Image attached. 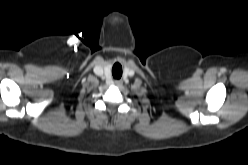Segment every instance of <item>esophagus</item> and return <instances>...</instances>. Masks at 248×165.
<instances>
[{
  "label": "esophagus",
  "instance_id": "34e87169",
  "mask_svg": "<svg viewBox=\"0 0 248 165\" xmlns=\"http://www.w3.org/2000/svg\"><path fill=\"white\" fill-rule=\"evenodd\" d=\"M123 82L121 80H115L114 81V85L117 86V87H120L122 86Z\"/></svg>",
  "mask_w": 248,
  "mask_h": 165
}]
</instances>
